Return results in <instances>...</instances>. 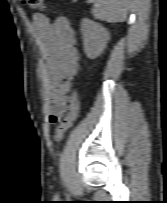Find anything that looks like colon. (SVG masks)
Masks as SVG:
<instances>
[{"instance_id": "1", "label": "colon", "mask_w": 167, "mask_h": 203, "mask_svg": "<svg viewBox=\"0 0 167 203\" xmlns=\"http://www.w3.org/2000/svg\"><path fill=\"white\" fill-rule=\"evenodd\" d=\"M22 2L28 5L33 10L42 11L44 9V1L43 0H22ZM79 114V102L78 97L75 90H72L70 96V110L67 116L62 121L56 133V142L60 143L65 134L71 128L75 120L77 119Z\"/></svg>"}]
</instances>
